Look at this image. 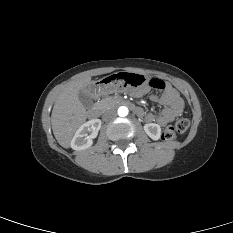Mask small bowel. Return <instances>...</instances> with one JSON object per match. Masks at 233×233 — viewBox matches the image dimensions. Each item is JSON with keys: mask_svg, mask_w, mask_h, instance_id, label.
<instances>
[{"mask_svg": "<svg viewBox=\"0 0 233 233\" xmlns=\"http://www.w3.org/2000/svg\"><path fill=\"white\" fill-rule=\"evenodd\" d=\"M148 90V87H143L133 92V95L140 97L145 95ZM151 99L163 105L164 109L159 115H154L153 113L144 115V119L148 123L156 122L159 125L164 126L182 114L183 100L178 92L168 84H166V88L161 95L158 96L154 94L151 96Z\"/></svg>", "mask_w": 233, "mask_h": 233, "instance_id": "obj_1", "label": "small bowel"}]
</instances>
